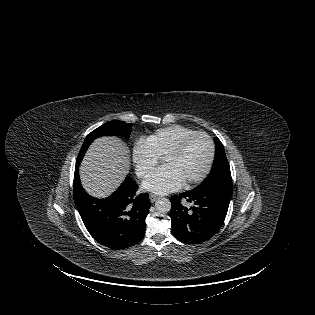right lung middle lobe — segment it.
<instances>
[{"mask_svg":"<svg viewBox=\"0 0 315 315\" xmlns=\"http://www.w3.org/2000/svg\"><path fill=\"white\" fill-rule=\"evenodd\" d=\"M131 133V124L125 123L123 121L113 120L105 123L104 125L98 127L89 133L83 142L79 155L77 157L76 165H80L82 158L87 151L89 145L94 139L104 136V135H121L128 137Z\"/></svg>","mask_w":315,"mask_h":315,"instance_id":"1","label":"right lung middle lobe"}]
</instances>
